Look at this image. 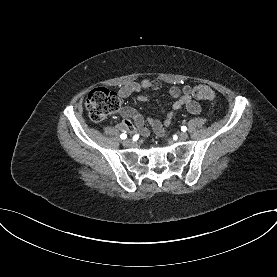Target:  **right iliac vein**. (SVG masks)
<instances>
[{
	"label": "right iliac vein",
	"mask_w": 277,
	"mask_h": 277,
	"mask_svg": "<svg viewBox=\"0 0 277 277\" xmlns=\"http://www.w3.org/2000/svg\"><path fill=\"white\" fill-rule=\"evenodd\" d=\"M133 145V141L131 139H126L123 141V146L131 147Z\"/></svg>",
	"instance_id": "obj_1"
}]
</instances>
